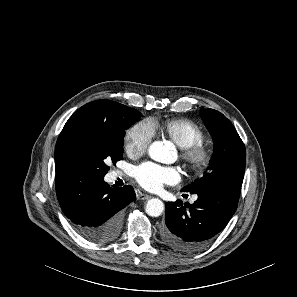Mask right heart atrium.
<instances>
[{
    "mask_svg": "<svg viewBox=\"0 0 297 297\" xmlns=\"http://www.w3.org/2000/svg\"><path fill=\"white\" fill-rule=\"evenodd\" d=\"M153 138L149 122L141 121L126 132L125 148L129 155L140 156L146 152Z\"/></svg>",
    "mask_w": 297,
    "mask_h": 297,
    "instance_id": "obj_1",
    "label": "right heart atrium"
}]
</instances>
